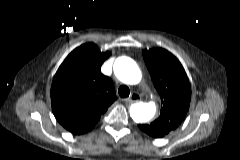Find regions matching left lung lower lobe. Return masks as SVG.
<instances>
[{"label":"left lung lower lobe","instance_id":"0a47b994","mask_svg":"<svg viewBox=\"0 0 240 160\" xmlns=\"http://www.w3.org/2000/svg\"><path fill=\"white\" fill-rule=\"evenodd\" d=\"M139 127L143 132H145L146 134L154 138H162L166 135L160 132L159 130L151 127L149 124H142V125H139Z\"/></svg>","mask_w":240,"mask_h":160}]
</instances>
